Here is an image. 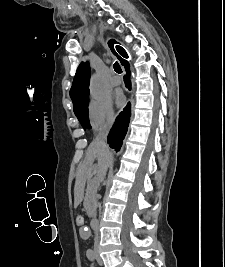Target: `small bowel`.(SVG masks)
<instances>
[{"label": "small bowel", "mask_w": 225, "mask_h": 267, "mask_svg": "<svg viewBox=\"0 0 225 267\" xmlns=\"http://www.w3.org/2000/svg\"><path fill=\"white\" fill-rule=\"evenodd\" d=\"M87 235H88V233L86 230L80 233V236L83 238H85Z\"/></svg>", "instance_id": "obj_1"}]
</instances>
